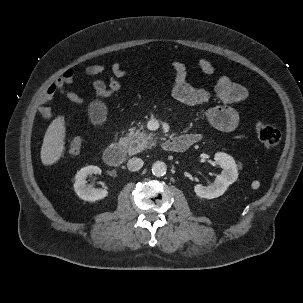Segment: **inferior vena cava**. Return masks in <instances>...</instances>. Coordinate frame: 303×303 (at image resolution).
I'll return each mask as SVG.
<instances>
[{
	"label": "inferior vena cava",
	"instance_id": "inferior-vena-cava-1",
	"mask_svg": "<svg viewBox=\"0 0 303 303\" xmlns=\"http://www.w3.org/2000/svg\"><path fill=\"white\" fill-rule=\"evenodd\" d=\"M143 160L137 157H133L131 159H129L128 163H127V167L129 169V171H138L143 167Z\"/></svg>",
	"mask_w": 303,
	"mask_h": 303
}]
</instances>
